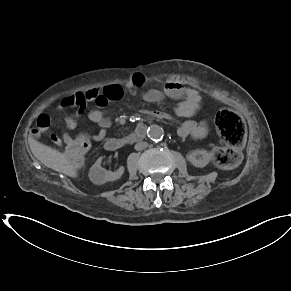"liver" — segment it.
Segmentation results:
<instances>
[{
  "instance_id": "obj_1",
  "label": "liver",
  "mask_w": 291,
  "mask_h": 291,
  "mask_svg": "<svg viewBox=\"0 0 291 291\" xmlns=\"http://www.w3.org/2000/svg\"><path fill=\"white\" fill-rule=\"evenodd\" d=\"M29 145L33 155L46 167L72 178L78 176L74 163L66 153H61L56 149L41 144L35 139H30Z\"/></svg>"
}]
</instances>
